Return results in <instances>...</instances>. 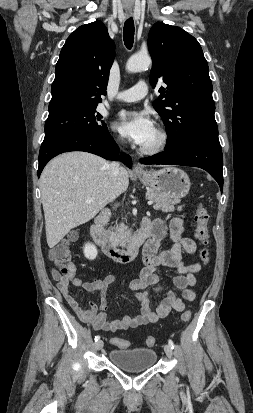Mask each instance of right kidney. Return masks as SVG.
<instances>
[{"label":"right kidney","mask_w":253,"mask_h":413,"mask_svg":"<svg viewBox=\"0 0 253 413\" xmlns=\"http://www.w3.org/2000/svg\"><path fill=\"white\" fill-rule=\"evenodd\" d=\"M83 250L87 259L94 260L97 257L98 251L94 244L86 243Z\"/></svg>","instance_id":"obj_1"}]
</instances>
